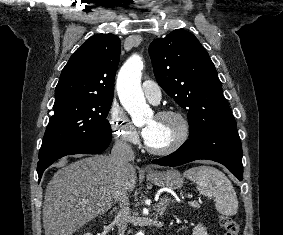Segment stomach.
Segmentation results:
<instances>
[{"mask_svg":"<svg viewBox=\"0 0 283 235\" xmlns=\"http://www.w3.org/2000/svg\"><path fill=\"white\" fill-rule=\"evenodd\" d=\"M146 176L147 179L153 184L171 190L180 189L184 183L183 177L176 169H169L166 171H155L152 173H147Z\"/></svg>","mask_w":283,"mask_h":235,"instance_id":"0dacf381","label":"stomach"}]
</instances>
